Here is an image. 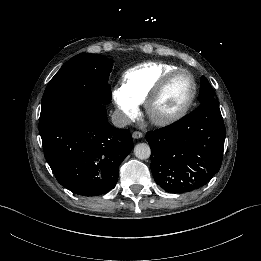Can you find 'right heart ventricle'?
I'll return each mask as SVG.
<instances>
[{"label":"right heart ventricle","mask_w":261,"mask_h":261,"mask_svg":"<svg viewBox=\"0 0 261 261\" xmlns=\"http://www.w3.org/2000/svg\"><path fill=\"white\" fill-rule=\"evenodd\" d=\"M175 68L163 62H146L136 65L123 73L122 88L138 104L144 103L162 78Z\"/></svg>","instance_id":"right-heart-ventricle-1"}]
</instances>
